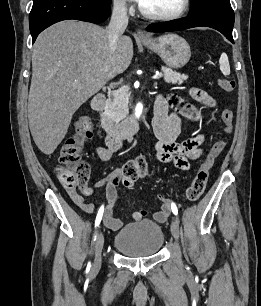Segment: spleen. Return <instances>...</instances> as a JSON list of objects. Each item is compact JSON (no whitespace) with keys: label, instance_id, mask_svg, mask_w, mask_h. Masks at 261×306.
<instances>
[{"label":"spleen","instance_id":"spleen-1","mask_svg":"<svg viewBox=\"0 0 261 306\" xmlns=\"http://www.w3.org/2000/svg\"><path fill=\"white\" fill-rule=\"evenodd\" d=\"M219 64H220V70L221 72L227 76L230 74V65H229V61H228V57L226 55V53H222L221 57L219 59Z\"/></svg>","mask_w":261,"mask_h":306}]
</instances>
